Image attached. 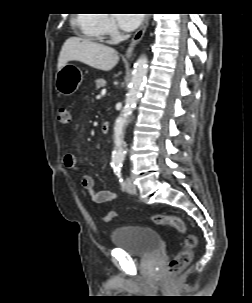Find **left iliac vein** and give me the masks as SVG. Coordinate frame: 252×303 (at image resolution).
<instances>
[{
    "label": "left iliac vein",
    "instance_id": "left-iliac-vein-1",
    "mask_svg": "<svg viewBox=\"0 0 252 303\" xmlns=\"http://www.w3.org/2000/svg\"><path fill=\"white\" fill-rule=\"evenodd\" d=\"M126 190L129 193H135L136 192V187H135L134 183L132 182V180L130 178H128L126 180Z\"/></svg>",
    "mask_w": 252,
    "mask_h": 303
}]
</instances>
